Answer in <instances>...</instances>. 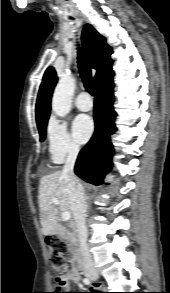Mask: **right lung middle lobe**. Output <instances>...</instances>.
<instances>
[{
  "mask_svg": "<svg viewBox=\"0 0 170 293\" xmlns=\"http://www.w3.org/2000/svg\"><path fill=\"white\" fill-rule=\"evenodd\" d=\"M39 133H40V141L42 142L45 139V135H46V126L43 128L39 129Z\"/></svg>",
  "mask_w": 170,
  "mask_h": 293,
  "instance_id": "right-lung-middle-lobe-1",
  "label": "right lung middle lobe"
}]
</instances>
